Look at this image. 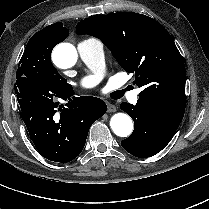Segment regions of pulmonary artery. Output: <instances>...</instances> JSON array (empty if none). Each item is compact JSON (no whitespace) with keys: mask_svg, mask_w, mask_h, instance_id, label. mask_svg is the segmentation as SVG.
Listing matches in <instances>:
<instances>
[{"mask_svg":"<svg viewBox=\"0 0 209 209\" xmlns=\"http://www.w3.org/2000/svg\"><path fill=\"white\" fill-rule=\"evenodd\" d=\"M77 50L79 58L91 70L92 74L83 79L82 85L92 87L98 84L104 75V53L103 44L100 40L90 38L78 43ZM140 89L124 91L123 95L133 104L139 102Z\"/></svg>","mask_w":209,"mask_h":209,"instance_id":"obj_1","label":"pulmonary artery"}]
</instances>
